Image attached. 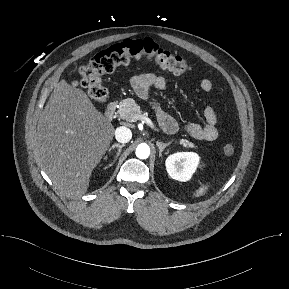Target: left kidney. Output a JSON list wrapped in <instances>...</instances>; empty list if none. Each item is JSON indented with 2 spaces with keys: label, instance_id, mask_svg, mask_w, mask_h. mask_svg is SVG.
<instances>
[{
  "label": "left kidney",
  "instance_id": "left-kidney-1",
  "mask_svg": "<svg viewBox=\"0 0 289 289\" xmlns=\"http://www.w3.org/2000/svg\"><path fill=\"white\" fill-rule=\"evenodd\" d=\"M199 164V156L193 152H178L170 155L166 161L169 176L178 181H188Z\"/></svg>",
  "mask_w": 289,
  "mask_h": 289
}]
</instances>
